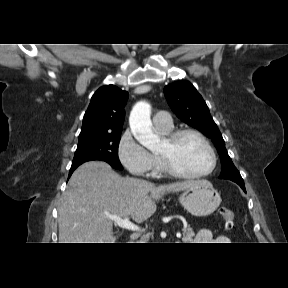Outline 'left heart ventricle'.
<instances>
[{
	"label": "left heart ventricle",
	"instance_id": "obj_1",
	"mask_svg": "<svg viewBox=\"0 0 288 288\" xmlns=\"http://www.w3.org/2000/svg\"><path fill=\"white\" fill-rule=\"evenodd\" d=\"M157 153L170 156L181 170L189 174L205 172L212 164L208 149L192 135L183 137L174 147L165 140Z\"/></svg>",
	"mask_w": 288,
	"mask_h": 288
}]
</instances>
